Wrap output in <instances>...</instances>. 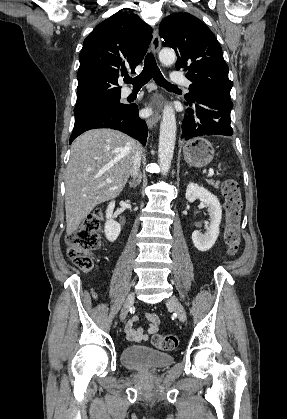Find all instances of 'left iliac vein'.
<instances>
[{"instance_id":"left-iliac-vein-1","label":"left iliac vein","mask_w":287,"mask_h":419,"mask_svg":"<svg viewBox=\"0 0 287 419\" xmlns=\"http://www.w3.org/2000/svg\"><path fill=\"white\" fill-rule=\"evenodd\" d=\"M166 304H167V306L169 308H171L177 314L178 319L181 322H185V320H186V313H185V310H184L182 304L177 299V297H175V296L170 297L167 300Z\"/></svg>"}]
</instances>
